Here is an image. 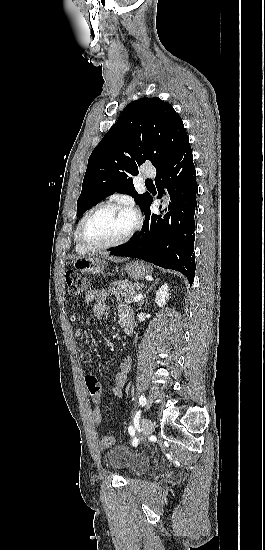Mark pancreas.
<instances>
[{
	"mask_svg": "<svg viewBox=\"0 0 265 550\" xmlns=\"http://www.w3.org/2000/svg\"><path fill=\"white\" fill-rule=\"evenodd\" d=\"M112 286L113 287L110 288L109 291L119 302H122L123 300L126 302L132 301L137 292H140L144 287L142 284L131 283L128 280L116 281L112 284Z\"/></svg>",
	"mask_w": 265,
	"mask_h": 550,
	"instance_id": "cf45deb5",
	"label": "pancreas"
}]
</instances>
